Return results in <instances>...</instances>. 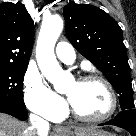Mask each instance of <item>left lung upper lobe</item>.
I'll list each match as a JSON object with an SVG mask.
<instances>
[{
  "label": "left lung upper lobe",
  "instance_id": "5c2ea615",
  "mask_svg": "<svg viewBox=\"0 0 136 136\" xmlns=\"http://www.w3.org/2000/svg\"><path fill=\"white\" fill-rule=\"evenodd\" d=\"M63 15L69 41L113 85L121 110L135 109L130 67L118 23L96 6L74 2L64 7Z\"/></svg>",
  "mask_w": 136,
  "mask_h": 136
}]
</instances>
